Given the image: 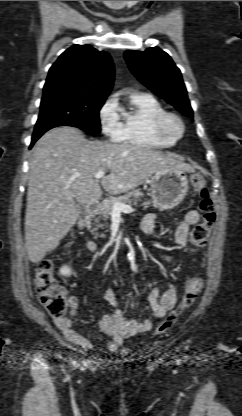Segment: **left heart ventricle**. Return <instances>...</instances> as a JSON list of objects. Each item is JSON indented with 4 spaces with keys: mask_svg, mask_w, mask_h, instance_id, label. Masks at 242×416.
<instances>
[{
    "mask_svg": "<svg viewBox=\"0 0 242 416\" xmlns=\"http://www.w3.org/2000/svg\"><path fill=\"white\" fill-rule=\"evenodd\" d=\"M170 129H171L172 131H176V126H175L174 124H171Z\"/></svg>",
    "mask_w": 242,
    "mask_h": 416,
    "instance_id": "1",
    "label": "left heart ventricle"
}]
</instances>
